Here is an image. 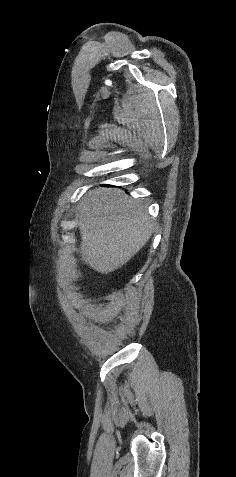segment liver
Wrapping results in <instances>:
<instances>
[{"label": "liver", "mask_w": 236, "mask_h": 477, "mask_svg": "<svg viewBox=\"0 0 236 477\" xmlns=\"http://www.w3.org/2000/svg\"><path fill=\"white\" fill-rule=\"evenodd\" d=\"M81 234V261L102 274L125 265L153 232V221L141 200L120 189H96L81 202L76 214Z\"/></svg>", "instance_id": "6515ba94"}]
</instances>
